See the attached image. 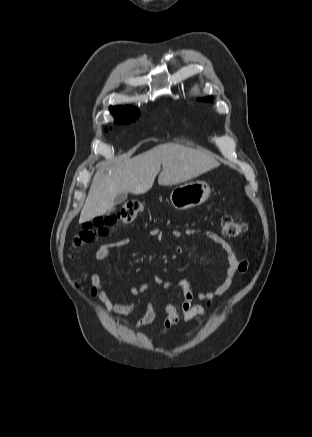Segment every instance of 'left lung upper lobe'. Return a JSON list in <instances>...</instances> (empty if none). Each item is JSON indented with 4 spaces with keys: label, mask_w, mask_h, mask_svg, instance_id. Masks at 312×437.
<instances>
[{
    "label": "left lung upper lobe",
    "mask_w": 312,
    "mask_h": 437,
    "mask_svg": "<svg viewBox=\"0 0 312 437\" xmlns=\"http://www.w3.org/2000/svg\"><path fill=\"white\" fill-rule=\"evenodd\" d=\"M201 100L202 101H206V102H208V101H213V97H207V98H201Z\"/></svg>",
    "instance_id": "1"
}]
</instances>
